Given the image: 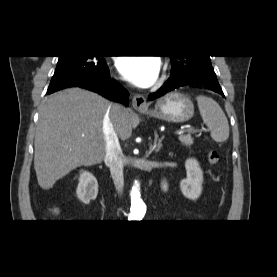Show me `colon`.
<instances>
[{
  "mask_svg": "<svg viewBox=\"0 0 277 277\" xmlns=\"http://www.w3.org/2000/svg\"><path fill=\"white\" fill-rule=\"evenodd\" d=\"M209 158H210V161H211V162L215 163V162L218 161L219 155H218V153H217L216 151H212V152L210 153V155H209Z\"/></svg>",
  "mask_w": 277,
  "mask_h": 277,
  "instance_id": "5ec220e1",
  "label": "colon"
}]
</instances>
